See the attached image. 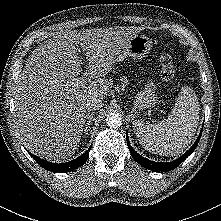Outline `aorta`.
I'll use <instances>...</instances> for the list:
<instances>
[{
    "instance_id": "762f6f07",
    "label": "aorta",
    "mask_w": 221,
    "mask_h": 221,
    "mask_svg": "<svg viewBox=\"0 0 221 221\" xmlns=\"http://www.w3.org/2000/svg\"><path fill=\"white\" fill-rule=\"evenodd\" d=\"M106 124L110 128H118L122 125V117L119 113H110L106 117Z\"/></svg>"
}]
</instances>
